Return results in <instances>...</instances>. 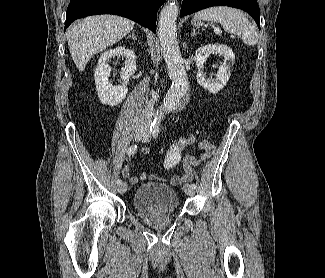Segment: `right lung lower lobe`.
<instances>
[{
    "label": "right lung lower lobe",
    "mask_w": 325,
    "mask_h": 278,
    "mask_svg": "<svg viewBox=\"0 0 325 278\" xmlns=\"http://www.w3.org/2000/svg\"><path fill=\"white\" fill-rule=\"evenodd\" d=\"M165 0H71L67 8L66 28L76 19L97 14L129 18L156 32L157 11Z\"/></svg>",
    "instance_id": "98d812e1"
}]
</instances>
